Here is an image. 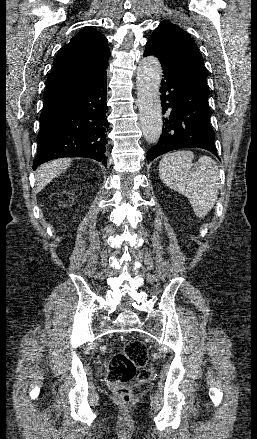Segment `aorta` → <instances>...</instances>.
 Returning <instances> with one entry per match:
<instances>
[{"mask_svg": "<svg viewBox=\"0 0 257 439\" xmlns=\"http://www.w3.org/2000/svg\"><path fill=\"white\" fill-rule=\"evenodd\" d=\"M162 67L154 56L144 57L137 69L136 86L141 128L147 142L155 143L162 133V109L159 97Z\"/></svg>", "mask_w": 257, "mask_h": 439, "instance_id": "762f6f07", "label": "aorta"}]
</instances>
